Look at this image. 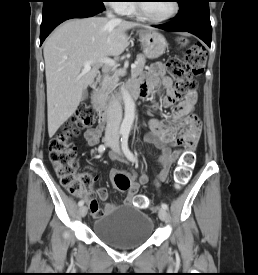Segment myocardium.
<instances>
[{"label":"myocardium","mask_w":258,"mask_h":275,"mask_svg":"<svg viewBox=\"0 0 258 275\" xmlns=\"http://www.w3.org/2000/svg\"><path fill=\"white\" fill-rule=\"evenodd\" d=\"M173 5H174V9L172 11L171 14H169L168 16L162 17V18H154L152 16H150L145 8L144 5L142 3H135V9L136 11L145 19H147L148 21L154 22V23H162L165 21H168L172 18H174L180 11V5L178 3L177 0H173Z\"/></svg>","instance_id":"myocardium-1"}]
</instances>
